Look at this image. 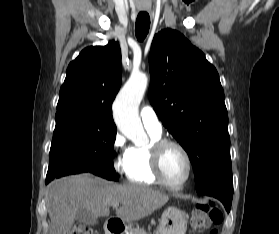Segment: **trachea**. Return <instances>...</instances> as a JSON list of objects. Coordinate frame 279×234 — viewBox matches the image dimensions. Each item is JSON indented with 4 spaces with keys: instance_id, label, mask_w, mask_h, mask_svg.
<instances>
[{
    "instance_id": "1",
    "label": "trachea",
    "mask_w": 279,
    "mask_h": 234,
    "mask_svg": "<svg viewBox=\"0 0 279 234\" xmlns=\"http://www.w3.org/2000/svg\"><path fill=\"white\" fill-rule=\"evenodd\" d=\"M150 28V17L146 12H140L136 19L135 34L139 41H143Z\"/></svg>"
}]
</instances>
